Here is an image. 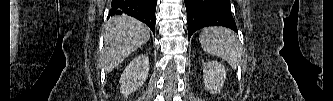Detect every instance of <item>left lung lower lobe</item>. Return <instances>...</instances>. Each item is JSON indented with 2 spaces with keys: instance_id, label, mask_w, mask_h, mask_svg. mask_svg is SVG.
<instances>
[{
  "instance_id": "1",
  "label": "left lung lower lobe",
  "mask_w": 333,
  "mask_h": 101,
  "mask_svg": "<svg viewBox=\"0 0 333 101\" xmlns=\"http://www.w3.org/2000/svg\"><path fill=\"white\" fill-rule=\"evenodd\" d=\"M187 9L188 36L206 26H224L237 32L230 0H184Z\"/></svg>"
}]
</instances>
